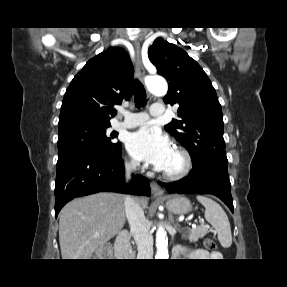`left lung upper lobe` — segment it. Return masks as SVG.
Wrapping results in <instances>:
<instances>
[{"label":"left lung upper lobe","mask_w":287,"mask_h":287,"mask_svg":"<svg viewBox=\"0 0 287 287\" xmlns=\"http://www.w3.org/2000/svg\"><path fill=\"white\" fill-rule=\"evenodd\" d=\"M158 74L169 81L163 101L177 104L178 119L165 126L189 152L197 174L228 172L221 105L204 70L183 49L157 38L148 50Z\"/></svg>","instance_id":"5c2ea615"}]
</instances>
